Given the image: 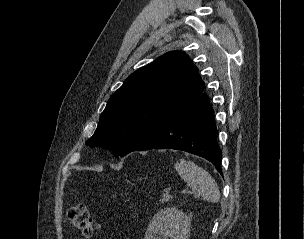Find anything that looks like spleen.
I'll use <instances>...</instances> for the list:
<instances>
[{
    "label": "spleen",
    "instance_id": "obj_1",
    "mask_svg": "<svg viewBox=\"0 0 304 239\" xmlns=\"http://www.w3.org/2000/svg\"><path fill=\"white\" fill-rule=\"evenodd\" d=\"M175 170L192 189L196 198L217 203L220 200V191L211 175L192 161L180 159L175 164Z\"/></svg>",
    "mask_w": 304,
    "mask_h": 239
}]
</instances>
